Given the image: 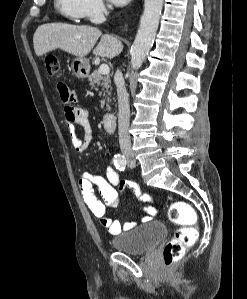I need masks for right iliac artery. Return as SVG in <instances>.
Returning a JSON list of instances; mask_svg holds the SVG:
<instances>
[{
  "mask_svg": "<svg viewBox=\"0 0 247 299\" xmlns=\"http://www.w3.org/2000/svg\"><path fill=\"white\" fill-rule=\"evenodd\" d=\"M127 160L123 155H115L114 156V165L116 166L117 169L120 171H124L126 168Z\"/></svg>",
  "mask_w": 247,
  "mask_h": 299,
  "instance_id": "82829eb1",
  "label": "right iliac artery"
}]
</instances>
